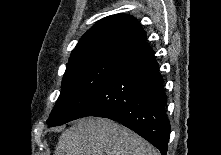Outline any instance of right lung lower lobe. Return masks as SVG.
Instances as JSON below:
<instances>
[{"label":"right lung lower lobe","instance_id":"98d812e1","mask_svg":"<svg viewBox=\"0 0 221 155\" xmlns=\"http://www.w3.org/2000/svg\"><path fill=\"white\" fill-rule=\"evenodd\" d=\"M167 97L152 48L139 44L111 70L81 117H105L132 129L166 155Z\"/></svg>","mask_w":221,"mask_h":155}]
</instances>
